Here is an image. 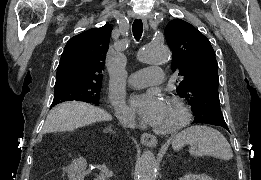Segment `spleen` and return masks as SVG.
Masks as SVG:
<instances>
[{"mask_svg":"<svg viewBox=\"0 0 261 180\" xmlns=\"http://www.w3.org/2000/svg\"><path fill=\"white\" fill-rule=\"evenodd\" d=\"M176 140L182 146L189 144V154L196 158H202V156H212L218 160H232L233 158L231 146L223 134L208 126L186 128L177 134Z\"/></svg>","mask_w":261,"mask_h":180,"instance_id":"1","label":"spleen"}]
</instances>
